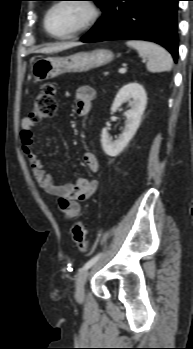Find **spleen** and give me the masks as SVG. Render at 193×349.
I'll use <instances>...</instances> for the list:
<instances>
[{"instance_id": "obj_1", "label": "spleen", "mask_w": 193, "mask_h": 349, "mask_svg": "<svg viewBox=\"0 0 193 349\" xmlns=\"http://www.w3.org/2000/svg\"><path fill=\"white\" fill-rule=\"evenodd\" d=\"M127 45L136 49L140 56L146 57L147 70L150 72L171 71L173 59L163 47L148 41L129 40Z\"/></svg>"}]
</instances>
